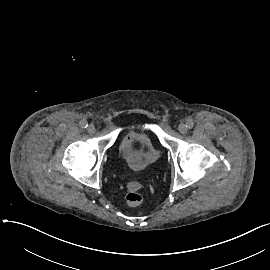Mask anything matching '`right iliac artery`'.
<instances>
[{
    "label": "right iliac artery",
    "mask_w": 270,
    "mask_h": 270,
    "mask_svg": "<svg viewBox=\"0 0 270 270\" xmlns=\"http://www.w3.org/2000/svg\"><path fill=\"white\" fill-rule=\"evenodd\" d=\"M80 126H81L82 128H87V127H88L87 121H85V120L81 121V122H80Z\"/></svg>",
    "instance_id": "82829eb1"
}]
</instances>
